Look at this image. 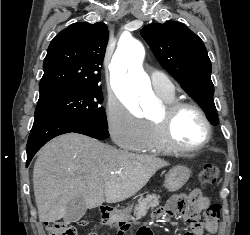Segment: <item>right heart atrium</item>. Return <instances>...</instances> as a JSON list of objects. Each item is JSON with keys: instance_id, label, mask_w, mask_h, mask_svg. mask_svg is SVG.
I'll return each mask as SVG.
<instances>
[{"instance_id": "obj_1", "label": "right heart atrium", "mask_w": 250, "mask_h": 235, "mask_svg": "<svg viewBox=\"0 0 250 235\" xmlns=\"http://www.w3.org/2000/svg\"><path fill=\"white\" fill-rule=\"evenodd\" d=\"M106 122L113 141L123 149L138 151L147 136V123L117 99L106 106Z\"/></svg>"}]
</instances>
